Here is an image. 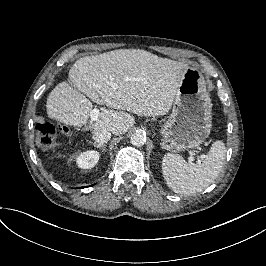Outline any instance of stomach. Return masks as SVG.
I'll return each instance as SVG.
<instances>
[{
	"label": "stomach",
	"mask_w": 266,
	"mask_h": 266,
	"mask_svg": "<svg viewBox=\"0 0 266 266\" xmlns=\"http://www.w3.org/2000/svg\"><path fill=\"white\" fill-rule=\"evenodd\" d=\"M212 130V102L202 74L187 69L172 113L160 128V147L170 153L191 150L201 145Z\"/></svg>",
	"instance_id": "stomach-1"
}]
</instances>
